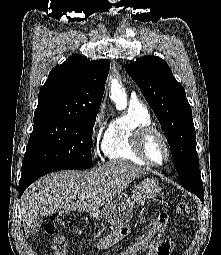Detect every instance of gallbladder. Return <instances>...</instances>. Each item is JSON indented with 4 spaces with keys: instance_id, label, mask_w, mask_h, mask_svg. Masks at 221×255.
Masks as SVG:
<instances>
[{
    "instance_id": "bac80fb5",
    "label": "gallbladder",
    "mask_w": 221,
    "mask_h": 255,
    "mask_svg": "<svg viewBox=\"0 0 221 255\" xmlns=\"http://www.w3.org/2000/svg\"><path fill=\"white\" fill-rule=\"evenodd\" d=\"M41 223H42V220L39 219L36 223L33 224L32 228H31V233H36L40 230V227H41Z\"/></svg>"
}]
</instances>
